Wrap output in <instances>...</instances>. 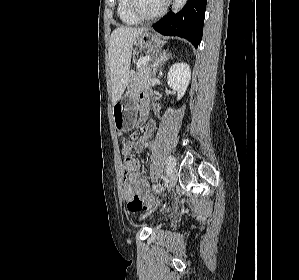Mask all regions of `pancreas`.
Segmentation results:
<instances>
[{"mask_svg":"<svg viewBox=\"0 0 299 280\" xmlns=\"http://www.w3.org/2000/svg\"><path fill=\"white\" fill-rule=\"evenodd\" d=\"M151 65L147 62L141 65L140 72L134 73L129 81V92L136 93L140 88L146 86L147 80L151 77Z\"/></svg>","mask_w":299,"mask_h":280,"instance_id":"pancreas-1","label":"pancreas"}]
</instances>
